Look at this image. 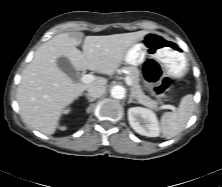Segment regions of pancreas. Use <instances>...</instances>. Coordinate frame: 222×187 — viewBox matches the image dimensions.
Wrapping results in <instances>:
<instances>
[{"label":"pancreas","instance_id":"cf45deb5","mask_svg":"<svg viewBox=\"0 0 222 187\" xmlns=\"http://www.w3.org/2000/svg\"><path fill=\"white\" fill-rule=\"evenodd\" d=\"M125 71L128 72V77L132 81L131 85V95L134 99L138 101V103L154 110H158L157 102L152 100L150 97L144 94L141 85H140V72L138 68L130 66L125 67Z\"/></svg>","mask_w":222,"mask_h":187}]
</instances>
